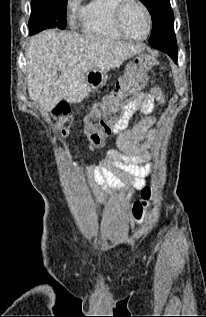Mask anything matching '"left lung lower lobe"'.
Here are the masks:
<instances>
[{"mask_svg": "<svg viewBox=\"0 0 206 317\" xmlns=\"http://www.w3.org/2000/svg\"><path fill=\"white\" fill-rule=\"evenodd\" d=\"M154 48L167 53L176 63L177 61V45L171 43L151 45Z\"/></svg>", "mask_w": 206, "mask_h": 317, "instance_id": "1", "label": "left lung lower lobe"}]
</instances>
